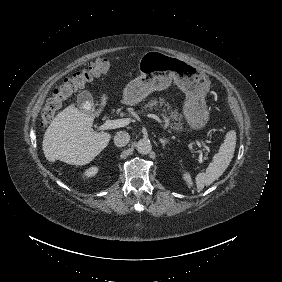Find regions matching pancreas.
Instances as JSON below:
<instances>
[{"instance_id":"pancreas-1","label":"pancreas","mask_w":282,"mask_h":282,"mask_svg":"<svg viewBox=\"0 0 282 282\" xmlns=\"http://www.w3.org/2000/svg\"><path fill=\"white\" fill-rule=\"evenodd\" d=\"M160 105L162 109L160 110L161 116L165 119V123L170 126L172 130L187 131L192 133V128H188L186 124L183 125L184 120L183 114L179 113L178 109H173L169 103H166L161 98L159 100L152 99L147 104L143 106V109L139 111L138 115L142 114L145 109H152L154 106ZM167 107V109H166ZM169 113V115H167Z\"/></svg>"}]
</instances>
